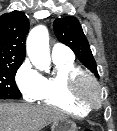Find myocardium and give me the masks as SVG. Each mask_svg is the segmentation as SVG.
Listing matches in <instances>:
<instances>
[{
  "mask_svg": "<svg viewBox=\"0 0 117 131\" xmlns=\"http://www.w3.org/2000/svg\"><path fill=\"white\" fill-rule=\"evenodd\" d=\"M91 88V91L88 88ZM69 91L72 97L91 109L99 108L103 103V90L97 78L89 72L81 71L71 77Z\"/></svg>",
  "mask_w": 117,
  "mask_h": 131,
  "instance_id": "myocardium-1",
  "label": "myocardium"
}]
</instances>
